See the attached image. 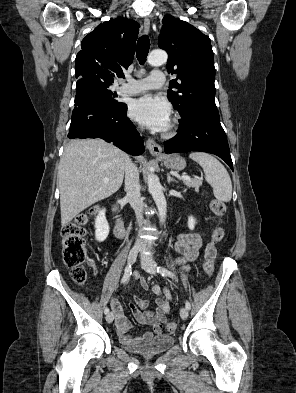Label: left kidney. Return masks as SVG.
Returning <instances> with one entry per match:
<instances>
[{
    "instance_id": "5707ae66",
    "label": "left kidney",
    "mask_w": 296,
    "mask_h": 393,
    "mask_svg": "<svg viewBox=\"0 0 296 393\" xmlns=\"http://www.w3.org/2000/svg\"><path fill=\"white\" fill-rule=\"evenodd\" d=\"M195 224H196V220L192 216L188 217V227H189V229L193 230L194 227H195Z\"/></svg>"
}]
</instances>
